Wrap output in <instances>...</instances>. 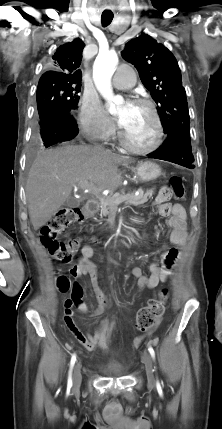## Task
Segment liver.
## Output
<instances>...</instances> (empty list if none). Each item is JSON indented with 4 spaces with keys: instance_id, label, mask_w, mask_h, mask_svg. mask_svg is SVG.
Masks as SVG:
<instances>
[{
    "instance_id": "obj_1",
    "label": "liver",
    "mask_w": 222,
    "mask_h": 429,
    "mask_svg": "<svg viewBox=\"0 0 222 429\" xmlns=\"http://www.w3.org/2000/svg\"><path fill=\"white\" fill-rule=\"evenodd\" d=\"M131 160L91 146L63 145L46 150L32 164L26 196L34 230L45 225L70 198L73 186L90 181L99 189L113 190L121 184L120 164Z\"/></svg>"
}]
</instances>
